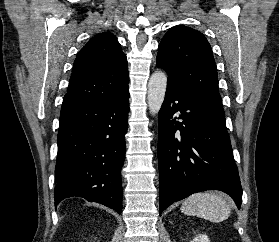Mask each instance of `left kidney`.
I'll return each mask as SVG.
<instances>
[{"mask_svg":"<svg viewBox=\"0 0 279 242\" xmlns=\"http://www.w3.org/2000/svg\"><path fill=\"white\" fill-rule=\"evenodd\" d=\"M190 242H210L209 238L207 235L205 234H200L198 236H196L192 241Z\"/></svg>","mask_w":279,"mask_h":242,"instance_id":"1","label":"left kidney"}]
</instances>
